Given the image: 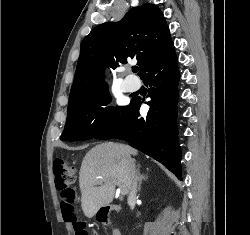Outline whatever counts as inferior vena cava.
<instances>
[{"mask_svg":"<svg viewBox=\"0 0 250 235\" xmlns=\"http://www.w3.org/2000/svg\"><path fill=\"white\" fill-rule=\"evenodd\" d=\"M137 182H138V175L135 170V165H132L130 168V181H129L130 185H129L128 200H134L136 198Z\"/></svg>","mask_w":250,"mask_h":235,"instance_id":"obj_1","label":"inferior vena cava"}]
</instances>
